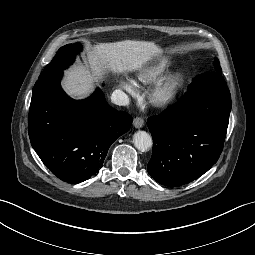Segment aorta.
<instances>
[{
    "instance_id": "aorta-1",
    "label": "aorta",
    "mask_w": 255,
    "mask_h": 255,
    "mask_svg": "<svg viewBox=\"0 0 255 255\" xmlns=\"http://www.w3.org/2000/svg\"><path fill=\"white\" fill-rule=\"evenodd\" d=\"M133 143L138 150L145 152L152 147V138L145 131H137L133 135Z\"/></svg>"
}]
</instances>
